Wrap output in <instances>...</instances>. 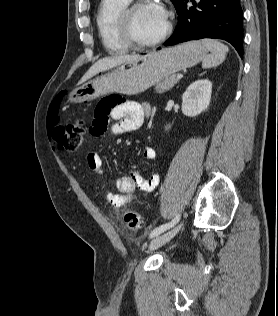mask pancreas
Wrapping results in <instances>:
<instances>
[{"label":"pancreas","mask_w":278,"mask_h":316,"mask_svg":"<svg viewBox=\"0 0 278 316\" xmlns=\"http://www.w3.org/2000/svg\"><path fill=\"white\" fill-rule=\"evenodd\" d=\"M179 79L175 74L161 80L155 86V91L157 93H164L165 91L170 90L175 84H177Z\"/></svg>","instance_id":"obj_1"}]
</instances>
